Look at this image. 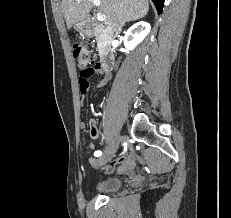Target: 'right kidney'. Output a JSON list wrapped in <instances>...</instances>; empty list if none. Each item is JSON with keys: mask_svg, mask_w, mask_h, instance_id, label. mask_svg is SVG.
Wrapping results in <instances>:
<instances>
[{"mask_svg": "<svg viewBox=\"0 0 231 218\" xmlns=\"http://www.w3.org/2000/svg\"><path fill=\"white\" fill-rule=\"evenodd\" d=\"M149 23L140 21L132 25L124 36V45L128 50H133L150 32Z\"/></svg>", "mask_w": 231, "mask_h": 218, "instance_id": "ca27d5eb", "label": "right kidney"}]
</instances>
